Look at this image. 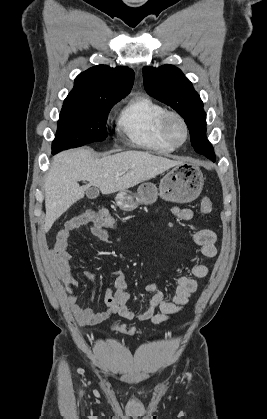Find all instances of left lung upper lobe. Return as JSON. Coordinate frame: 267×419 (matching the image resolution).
Returning <instances> with one entry per match:
<instances>
[{
    "label": "left lung upper lobe",
    "instance_id": "obj_1",
    "mask_svg": "<svg viewBox=\"0 0 267 419\" xmlns=\"http://www.w3.org/2000/svg\"><path fill=\"white\" fill-rule=\"evenodd\" d=\"M145 90L152 97L171 106L185 120L194 150L211 159L215 155L206 138V113L192 83L173 65L143 68Z\"/></svg>",
    "mask_w": 267,
    "mask_h": 419
}]
</instances>
